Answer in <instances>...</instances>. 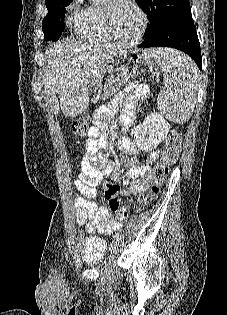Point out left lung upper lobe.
I'll list each match as a JSON object with an SVG mask.
<instances>
[{
	"label": "left lung upper lobe",
	"mask_w": 227,
	"mask_h": 315,
	"mask_svg": "<svg viewBox=\"0 0 227 315\" xmlns=\"http://www.w3.org/2000/svg\"><path fill=\"white\" fill-rule=\"evenodd\" d=\"M136 2L146 12L150 22L145 31L146 36L171 19L191 14L189 0H136Z\"/></svg>",
	"instance_id": "5c2ea615"
}]
</instances>
